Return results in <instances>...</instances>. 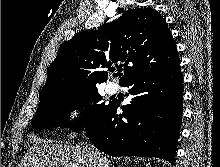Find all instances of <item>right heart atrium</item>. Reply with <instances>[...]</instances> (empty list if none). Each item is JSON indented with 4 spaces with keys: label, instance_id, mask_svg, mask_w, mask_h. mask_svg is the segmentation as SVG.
Segmentation results:
<instances>
[{
    "label": "right heart atrium",
    "instance_id": "d8ad5b80",
    "mask_svg": "<svg viewBox=\"0 0 220 167\" xmlns=\"http://www.w3.org/2000/svg\"><path fill=\"white\" fill-rule=\"evenodd\" d=\"M87 118V106L83 101L75 102L70 108L67 116V123L72 130L76 126L84 123Z\"/></svg>",
    "mask_w": 220,
    "mask_h": 167
}]
</instances>
